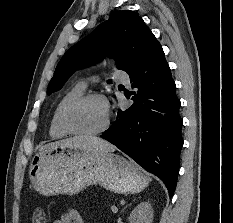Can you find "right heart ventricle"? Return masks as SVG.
<instances>
[{
	"label": "right heart ventricle",
	"instance_id": "1",
	"mask_svg": "<svg viewBox=\"0 0 233 223\" xmlns=\"http://www.w3.org/2000/svg\"><path fill=\"white\" fill-rule=\"evenodd\" d=\"M85 87L78 83L67 90L57 102L49 124V135L53 139H61L70 135L62 125V113L66 106L74 99L82 96Z\"/></svg>",
	"mask_w": 233,
	"mask_h": 223
}]
</instances>
